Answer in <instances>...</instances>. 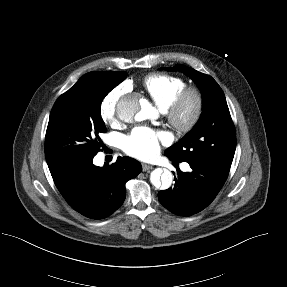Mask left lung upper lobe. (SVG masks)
I'll use <instances>...</instances> for the list:
<instances>
[{
  "mask_svg": "<svg viewBox=\"0 0 287 287\" xmlns=\"http://www.w3.org/2000/svg\"><path fill=\"white\" fill-rule=\"evenodd\" d=\"M161 69L181 71L190 76L203 98L198 123L179 142L166 149L165 155L176 162H201L228 174L236 149V134L222 89L211 76L185 65Z\"/></svg>",
  "mask_w": 287,
  "mask_h": 287,
  "instance_id": "obj_1",
  "label": "left lung upper lobe"
}]
</instances>
